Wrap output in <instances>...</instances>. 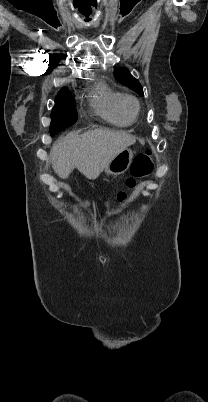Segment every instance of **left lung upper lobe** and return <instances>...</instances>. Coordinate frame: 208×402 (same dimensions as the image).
Returning <instances> with one entry per match:
<instances>
[{
	"label": "left lung upper lobe",
	"mask_w": 208,
	"mask_h": 402,
	"mask_svg": "<svg viewBox=\"0 0 208 402\" xmlns=\"http://www.w3.org/2000/svg\"><path fill=\"white\" fill-rule=\"evenodd\" d=\"M114 76L118 82L134 90L140 96H144L141 84L126 69L116 70Z\"/></svg>",
	"instance_id": "5c2ea615"
}]
</instances>
